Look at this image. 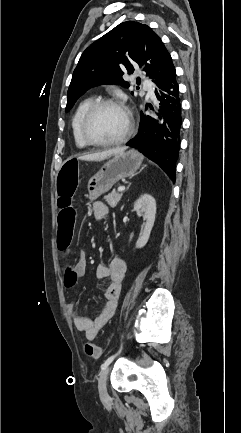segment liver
<instances>
[{"label": "liver", "mask_w": 241, "mask_h": 433, "mask_svg": "<svg viewBox=\"0 0 241 433\" xmlns=\"http://www.w3.org/2000/svg\"><path fill=\"white\" fill-rule=\"evenodd\" d=\"M125 150H126V147H121V148L111 149L108 151H103L100 153H94V154L80 156L79 159L85 160V161H101V160H104V159H106L112 155H115V154L120 153V152L125 151Z\"/></svg>", "instance_id": "liver-1"}]
</instances>
